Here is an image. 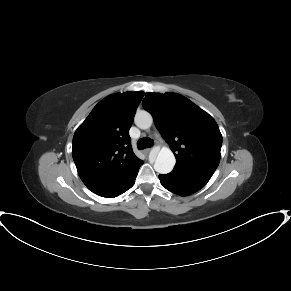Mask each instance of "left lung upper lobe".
Segmentation results:
<instances>
[{
    "mask_svg": "<svg viewBox=\"0 0 291 291\" xmlns=\"http://www.w3.org/2000/svg\"><path fill=\"white\" fill-rule=\"evenodd\" d=\"M176 157L173 170L210 177L220 161L222 135L215 120L177 93H146L142 102Z\"/></svg>",
    "mask_w": 291,
    "mask_h": 291,
    "instance_id": "5c2ea615",
    "label": "left lung upper lobe"
}]
</instances>
